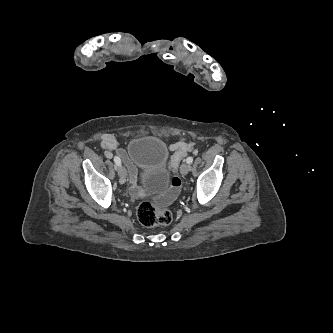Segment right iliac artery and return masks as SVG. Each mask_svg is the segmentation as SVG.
Masks as SVG:
<instances>
[{"label":"right iliac artery","instance_id":"obj_1","mask_svg":"<svg viewBox=\"0 0 333 333\" xmlns=\"http://www.w3.org/2000/svg\"><path fill=\"white\" fill-rule=\"evenodd\" d=\"M114 162H115V164H116L117 166H120V165H121V160H120V158H119L118 156H115V157H114Z\"/></svg>","mask_w":333,"mask_h":333}]
</instances>
